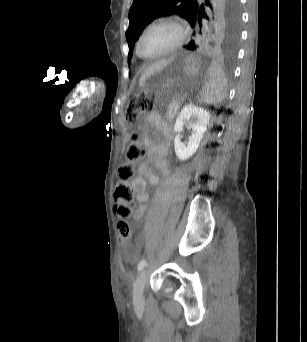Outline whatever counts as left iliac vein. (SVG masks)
Instances as JSON below:
<instances>
[{
  "mask_svg": "<svg viewBox=\"0 0 307 342\" xmlns=\"http://www.w3.org/2000/svg\"><path fill=\"white\" fill-rule=\"evenodd\" d=\"M146 269L142 270L139 274L133 291V300L134 303H141L144 300V287L146 282Z\"/></svg>",
  "mask_w": 307,
  "mask_h": 342,
  "instance_id": "left-iliac-vein-1",
  "label": "left iliac vein"
}]
</instances>
